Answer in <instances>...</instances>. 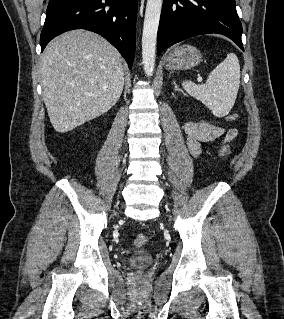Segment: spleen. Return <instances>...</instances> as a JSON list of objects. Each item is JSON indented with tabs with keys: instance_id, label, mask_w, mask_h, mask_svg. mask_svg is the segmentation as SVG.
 <instances>
[{
	"instance_id": "1",
	"label": "spleen",
	"mask_w": 284,
	"mask_h": 319,
	"mask_svg": "<svg viewBox=\"0 0 284 319\" xmlns=\"http://www.w3.org/2000/svg\"><path fill=\"white\" fill-rule=\"evenodd\" d=\"M240 84V65L234 53L215 67L205 84L197 85L191 81L182 83L185 91L201 101L216 117H224L232 109Z\"/></svg>"
}]
</instances>
